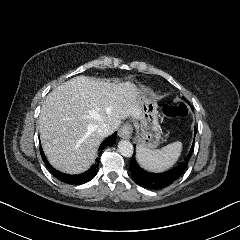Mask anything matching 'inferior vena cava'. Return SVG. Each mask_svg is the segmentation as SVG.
<instances>
[{
  "label": "inferior vena cava",
  "instance_id": "obj_1",
  "mask_svg": "<svg viewBox=\"0 0 240 240\" xmlns=\"http://www.w3.org/2000/svg\"><path fill=\"white\" fill-rule=\"evenodd\" d=\"M119 126V122L109 123V122H101L98 126V133L100 136L107 137L112 134Z\"/></svg>",
  "mask_w": 240,
  "mask_h": 240
}]
</instances>
